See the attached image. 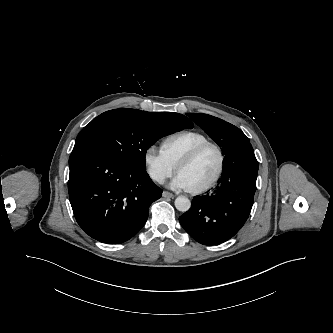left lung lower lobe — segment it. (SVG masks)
I'll list each match as a JSON object with an SVG mask.
<instances>
[{
  "mask_svg": "<svg viewBox=\"0 0 333 333\" xmlns=\"http://www.w3.org/2000/svg\"><path fill=\"white\" fill-rule=\"evenodd\" d=\"M257 172L258 162L249 141L225 154L217 189L195 196L191 208L179 217L185 231L203 245L232 238L251 212Z\"/></svg>",
  "mask_w": 333,
  "mask_h": 333,
  "instance_id": "1",
  "label": "left lung lower lobe"
}]
</instances>
